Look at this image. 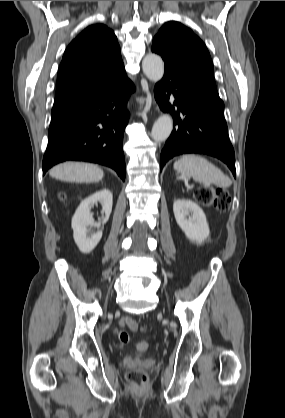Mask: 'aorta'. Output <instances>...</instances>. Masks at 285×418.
<instances>
[{
  "label": "aorta",
  "instance_id": "762f6f07",
  "mask_svg": "<svg viewBox=\"0 0 285 418\" xmlns=\"http://www.w3.org/2000/svg\"><path fill=\"white\" fill-rule=\"evenodd\" d=\"M142 69L149 80L158 82L162 79L164 74L163 60L159 55L149 53L142 61ZM172 129V117L169 114H163L154 123L151 137L155 142H163L170 136Z\"/></svg>",
  "mask_w": 285,
  "mask_h": 418
}]
</instances>
